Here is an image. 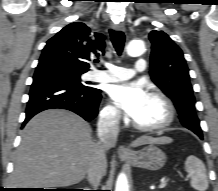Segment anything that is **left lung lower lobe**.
Instances as JSON below:
<instances>
[{
  "label": "left lung lower lobe",
  "instance_id": "obj_1",
  "mask_svg": "<svg viewBox=\"0 0 218 191\" xmlns=\"http://www.w3.org/2000/svg\"><path fill=\"white\" fill-rule=\"evenodd\" d=\"M198 136H199L201 139L203 138V136H202V135H201V136H200V135H198Z\"/></svg>",
  "mask_w": 218,
  "mask_h": 191
}]
</instances>
